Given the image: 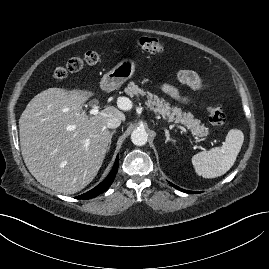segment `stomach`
Segmentation results:
<instances>
[{
    "label": "stomach",
    "instance_id": "obj_1",
    "mask_svg": "<svg viewBox=\"0 0 269 269\" xmlns=\"http://www.w3.org/2000/svg\"><path fill=\"white\" fill-rule=\"evenodd\" d=\"M136 62L132 59L121 60L112 70L103 76L100 87L104 91H112L129 80L135 73Z\"/></svg>",
    "mask_w": 269,
    "mask_h": 269
}]
</instances>
